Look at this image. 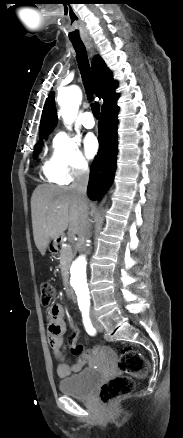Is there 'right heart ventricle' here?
<instances>
[{"label":"right heart ventricle","instance_id":"e07e8e85","mask_svg":"<svg viewBox=\"0 0 183 438\" xmlns=\"http://www.w3.org/2000/svg\"><path fill=\"white\" fill-rule=\"evenodd\" d=\"M50 163H51V160L50 161H44V163H43V170H44V172H45V174L47 175L48 178H50L51 180H54L52 178V176H51V173H50Z\"/></svg>","mask_w":183,"mask_h":438}]
</instances>
